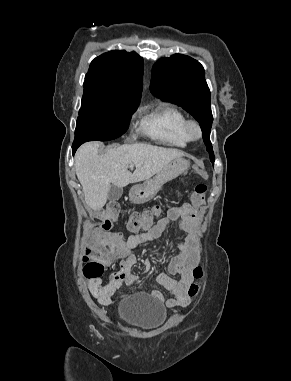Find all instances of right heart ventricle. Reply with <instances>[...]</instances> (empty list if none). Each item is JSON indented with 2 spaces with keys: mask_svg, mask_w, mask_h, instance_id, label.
Here are the masks:
<instances>
[{
  "mask_svg": "<svg viewBox=\"0 0 291 381\" xmlns=\"http://www.w3.org/2000/svg\"><path fill=\"white\" fill-rule=\"evenodd\" d=\"M188 118L172 104H160L146 111L141 128L153 139L168 146L187 147L192 139L187 130Z\"/></svg>",
  "mask_w": 291,
  "mask_h": 381,
  "instance_id": "right-heart-ventricle-1",
  "label": "right heart ventricle"
}]
</instances>
